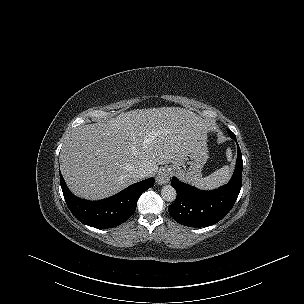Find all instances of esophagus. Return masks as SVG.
Returning a JSON list of instances; mask_svg holds the SVG:
<instances>
[{
  "instance_id": "obj_1",
  "label": "esophagus",
  "mask_w": 304,
  "mask_h": 304,
  "mask_svg": "<svg viewBox=\"0 0 304 304\" xmlns=\"http://www.w3.org/2000/svg\"><path fill=\"white\" fill-rule=\"evenodd\" d=\"M171 172L168 168L160 169L156 176V183L159 185L166 184L170 181Z\"/></svg>"
}]
</instances>
